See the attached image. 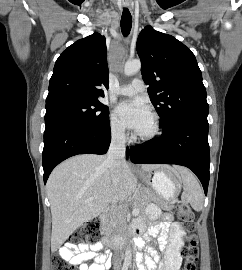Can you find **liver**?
I'll return each mask as SVG.
<instances>
[{
	"label": "liver",
	"mask_w": 242,
	"mask_h": 270,
	"mask_svg": "<svg viewBox=\"0 0 242 270\" xmlns=\"http://www.w3.org/2000/svg\"><path fill=\"white\" fill-rule=\"evenodd\" d=\"M106 156L82 154L58 165L47 181L51 205V249L57 250L83 223L99 216L114 201L137 192V180L124 161L117 181L105 165ZM151 171L160 165H142ZM93 197V200H89Z\"/></svg>",
	"instance_id": "obj_1"
}]
</instances>
